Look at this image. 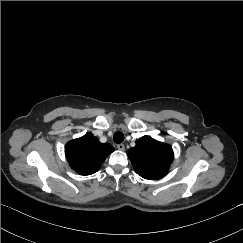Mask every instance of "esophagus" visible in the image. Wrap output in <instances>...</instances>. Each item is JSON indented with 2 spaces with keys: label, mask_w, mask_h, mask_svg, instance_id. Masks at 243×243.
<instances>
[{
  "label": "esophagus",
  "mask_w": 243,
  "mask_h": 243,
  "mask_svg": "<svg viewBox=\"0 0 243 243\" xmlns=\"http://www.w3.org/2000/svg\"><path fill=\"white\" fill-rule=\"evenodd\" d=\"M117 149L120 150V151H124L125 150L124 144H122V143L121 144H118L117 145Z\"/></svg>",
  "instance_id": "1"
}]
</instances>
